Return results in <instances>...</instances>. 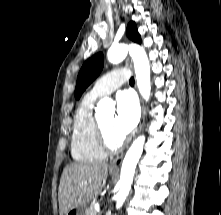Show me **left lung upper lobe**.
I'll list each match as a JSON object with an SVG mask.
<instances>
[{
  "label": "left lung upper lobe",
  "instance_id": "5c2ea615",
  "mask_svg": "<svg viewBox=\"0 0 221 215\" xmlns=\"http://www.w3.org/2000/svg\"><path fill=\"white\" fill-rule=\"evenodd\" d=\"M127 37L137 43H141V37L137 31L135 22L131 21L127 26ZM103 69V54L97 53L89 58L82 66L75 88V98L79 99L86 88L99 76Z\"/></svg>",
  "mask_w": 221,
  "mask_h": 215
}]
</instances>
